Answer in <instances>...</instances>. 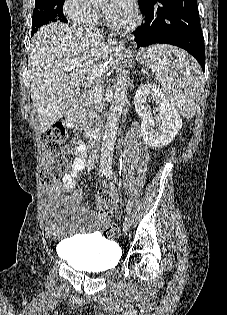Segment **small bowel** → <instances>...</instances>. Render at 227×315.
I'll return each instance as SVG.
<instances>
[{
	"instance_id": "obj_1",
	"label": "small bowel",
	"mask_w": 227,
	"mask_h": 315,
	"mask_svg": "<svg viewBox=\"0 0 227 315\" xmlns=\"http://www.w3.org/2000/svg\"><path fill=\"white\" fill-rule=\"evenodd\" d=\"M86 152L87 148L85 145L81 144L76 146L73 150L74 159L71 171L63 175L59 181L45 188L47 196L44 211L45 223L52 231H58L60 223L68 217L75 223H78L83 215H89L98 221V215L94 211L83 206L84 197L82 195L77 193H67L75 187V179L77 175L86 167ZM109 194L111 197L112 214L115 208L117 195L113 192ZM59 201L61 203V209L58 210L55 205Z\"/></svg>"
}]
</instances>
